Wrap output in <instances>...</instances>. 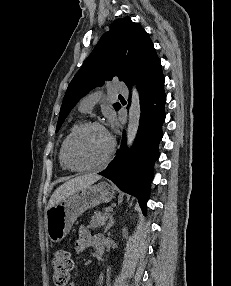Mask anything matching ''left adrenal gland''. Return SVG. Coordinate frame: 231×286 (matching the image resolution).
I'll list each match as a JSON object with an SVG mask.
<instances>
[{
  "mask_svg": "<svg viewBox=\"0 0 231 286\" xmlns=\"http://www.w3.org/2000/svg\"><path fill=\"white\" fill-rule=\"evenodd\" d=\"M113 216H114V212H112V213L110 214V216H109V222H108V224H107L106 227H105V233H106V232L108 231V229H110V228L113 226V224L115 223Z\"/></svg>",
  "mask_w": 231,
  "mask_h": 286,
  "instance_id": "obj_1",
  "label": "left adrenal gland"
}]
</instances>
